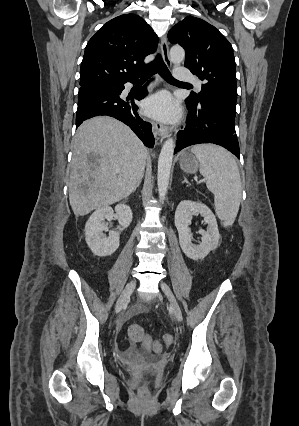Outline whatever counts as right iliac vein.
<instances>
[{"instance_id": "right-iliac-vein-1", "label": "right iliac vein", "mask_w": 299, "mask_h": 426, "mask_svg": "<svg viewBox=\"0 0 299 426\" xmlns=\"http://www.w3.org/2000/svg\"><path fill=\"white\" fill-rule=\"evenodd\" d=\"M136 283L135 281H130L124 288L123 292L121 293L116 306L115 311L118 312L122 309V307L128 302L130 299L131 294L133 293L135 289Z\"/></svg>"}]
</instances>
